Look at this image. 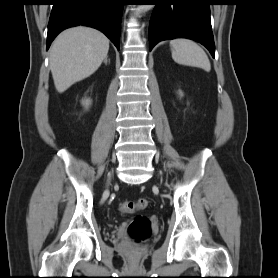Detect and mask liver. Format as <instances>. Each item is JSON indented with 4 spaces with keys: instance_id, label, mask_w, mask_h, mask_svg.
Here are the masks:
<instances>
[{
    "instance_id": "obj_1",
    "label": "liver",
    "mask_w": 278,
    "mask_h": 278,
    "mask_svg": "<svg viewBox=\"0 0 278 278\" xmlns=\"http://www.w3.org/2000/svg\"><path fill=\"white\" fill-rule=\"evenodd\" d=\"M109 39L100 31L78 26L60 33L50 50V69L59 93L92 75L107 57Z\"/></svg>"
}]
</instances>
